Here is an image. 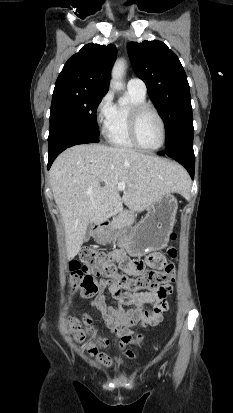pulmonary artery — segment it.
<instances>
[{"label": "pulmonary artery", "instance_id": "1", "mask_svg": "<svg viewBox=\"0 0 233 413\" xmlns=\"http://www.w3.org/2000/svg\"><path fill=\"white\" fill-rule=\"evenodd\" d=\"M127 89L129 91L137 92L142 95H146L147 93L146 84L144 83V81L137 77H132L128 80Z\"/></svg>", "mask_w": 233, "mask_h": 413}]
</instances>
